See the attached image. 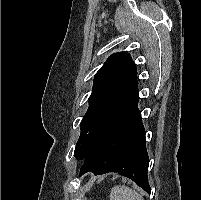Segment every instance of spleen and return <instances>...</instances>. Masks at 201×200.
Listing matches in <instances>:
<instances>
[{"label":"spleen","instance_id":"1","mask_svg":"<svg viewBox=\"0 0 201 200\" xmlns=\"http://www.w3.org/2000/svg\"><path fill=\"white\" fill-rule=\"evenodd\" d=\"M110 200H143V199L142 196L137 191L125 185H117L110 190Z\"/></svg>","mask_w":201,"mask_h":200}]
</instances>
